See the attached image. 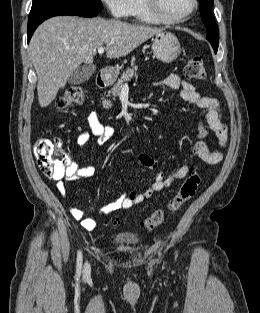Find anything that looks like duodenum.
<instances>
[{
  "label": "duodenum",
  "instance_id": "410a0bca",
  "mask_svg": "<svg viewBox=\"0 0 260 313\" xmlns=\"http://www.w3.org/2000/svg\"><path fill=\"white\" fill-rule=\"evenodd\" d=\"M97 86L99 88H104L108 85L109 83V72L107 69H102L96 79Z\"/></svg>",
  "mask_w": 260,
  "mask_h": 313
}]
</instances>
